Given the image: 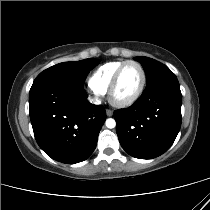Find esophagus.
Here are the masks:
<instances>
[{"label": "esophagus", "instance_id": "esophagus-1", "mask_svg": "<svg viewBox=\"0 0 210 210\" xmlns=\"http://www.w3.org/2000/svg\"><path fill=\"white\" fill-rule=\"evenodd\" d=\"M106 115H107L108 117H111V116L113 115V111L110 110V109H106Z\"/></svg>", "mask_w": 210, "mask_h": 210}]
</instances>
